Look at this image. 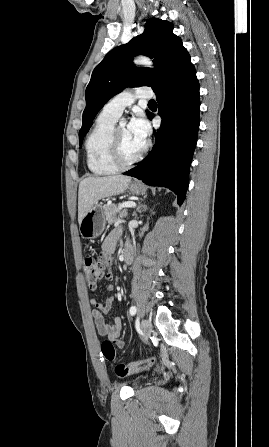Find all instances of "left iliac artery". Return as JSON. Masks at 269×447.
<instances>
[{"label": "left iliac artery", "instance_id": "1", "mask_svg": "<svg viewBox=\"0 0 269 447\" xmlns=\"http://www.w3.org/2000/svg\"><path fill=\"white\" fill-rule=\"evenodd\" d=\"M136 311H137V309H136V307L135 306H132L131 308H130V315H135L136 314Z\"/></svg>", "mask_w": 269, "mask_h": 447}]
</instances>
